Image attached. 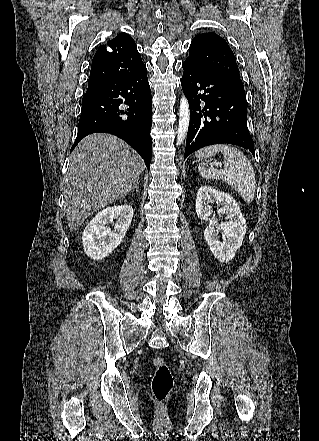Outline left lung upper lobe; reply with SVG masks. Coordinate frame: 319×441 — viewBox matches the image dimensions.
Masks as SVG:
<instances>
[{"label": "left lung upper lobe", "instance_id": "5c2ea615", "mask_svg": "<svg viewBox=\"0 0 319 441\" xmlns=\"http://www.w3.org/2000/svg\"><path fill=\"white\" fill-rule=\"evenodd\" d=\"M186 60L227 78L245 92L236 58L226 40L216 33L196 35L191 42Z\"/></svg>", "mask_w": 319, "mask_h": 441}]
</instances>
